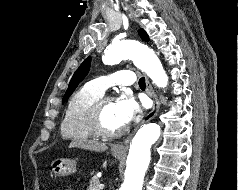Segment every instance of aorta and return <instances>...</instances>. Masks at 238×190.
I'll return each instance as SVG.
<instances>
[{
    "label": "aorta",
    "instance_id": "obj_1",
    "mask_svg": "<svg viewBox=\"0 0 238 190\" xmlns=\"http://www.w3.org/2000/svg\"><path fill=\"white\" fill-rule=\"evenodd\" d=\"M131 59L144 71L158 87L164 88L168 77L152 49L136 40L113 41L104 51L103 62L114 65ZM160 137V127L156 123L141 126L130 145L127 157L125 179L119 190H142L144 176L150 163V149Z\"/></svg>",
    "mask_w": 238,
    "mask_h": 190
}]
</instances>
